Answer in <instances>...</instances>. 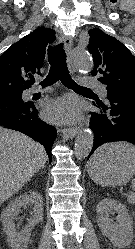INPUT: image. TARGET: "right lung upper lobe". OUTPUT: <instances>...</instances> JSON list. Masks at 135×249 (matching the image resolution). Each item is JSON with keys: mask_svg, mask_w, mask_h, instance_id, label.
Listing matches in <instances>:
<instances>
[{"mask_svg": "<svg viewBox=\"0 0 135 249\" xmlns=\"http://www.w3.org/2000/svg\"><path fill=\"white\" fill-rule=\"evenodd\" d=\"M54 40V30L39 27L12 44L0 56V93L23 92L29 88L34 74H40L46 49Z\"/></svg>", "mask_w": 135, "mask_h": 249, "instance_id": "right-lung-upper-lobe-1", "label": "right lung upper lobe"}]
</instances>
